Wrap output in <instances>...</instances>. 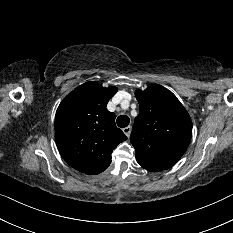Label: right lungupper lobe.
I'll return each instance as SVG.
<instances>
[{
    "label": "right lung upper lobe",
    "instance_id": "obj_1",
    "mask_svg": "<svg viewBox=\"0 0 233 233\" xmlns=\"http://www.w3.org/2000/svg\"><path fill=\"white\" fill-rule=\"evenodd\" d=\"M116 87L86 82L60 103L55 116V140L63 159L80 172L93 175L107 169L112 151L127 139L106 109Z\"/></svg>",
    "mask_w": 233,
    "mask_h": 233
}]
</instances>
